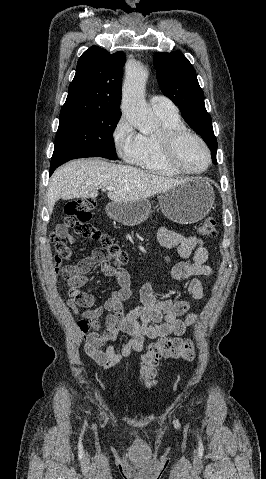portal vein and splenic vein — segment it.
<instances>
[{
	"instance_id": "18ae733b",
	"label": "portal vein and splenic vein",
	"mask_w": 266,
	"mask_h": 479,
	"mask_svg": "<svg viewBox=\"0 0 266 479\" xmlns=\"http://www.w3.org/2000/svg\"><path fill=\"white\" fill-rule=\"evenodd\" d=\"M107 190H115V187L108 186L106 187Z\"/></svg>"
}]
</instances>
